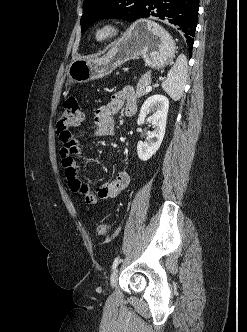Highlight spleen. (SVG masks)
<instances>
[{"mask_svg":"<svg viewBox=\"0 0 247 332\" xmlns=\"http://www.w3.org/2000/svg\"><path fill=\"white\" fill-rule=\"evenodd\" d=\"M187 79V59L180 54L162 83L163 90L174 100H179L183 95Z\"/></svg>","mask_w":247,"mask_h":332,"instance_id":"obj_1","label":"spleen"}]
</instances>
